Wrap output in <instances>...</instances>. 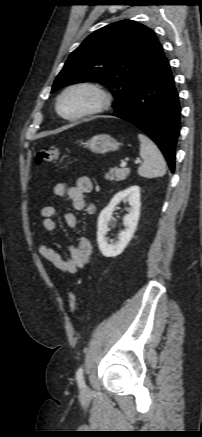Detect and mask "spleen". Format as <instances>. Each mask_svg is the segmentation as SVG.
I'll return each instance as SVG.
<instances>
[{"mask_svg":"<svg viewBox=\"0 0 202 437\" xmlns=\"http://www.w3.org/2000/svg\"><path fill=\"white\" fill-rule=\"evenodd\" d=\"M140 140V156L144 163L138 168V174L144 178L164 176L166 173L165 160L158 147L143 134H138Z\"/></svg>","mask_w":202,"mask_h":437,"instance_id":"3e777b00","label":"spleen"}]
</instances>
